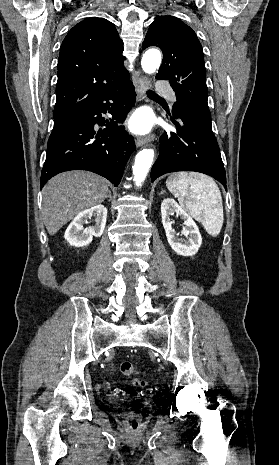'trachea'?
<instances>
[{"label": "trachea", "mask_w": 279, "mask_h": 465, "mask_svg": "<svg viewBox=\"0 0 279 465\" xmlns=\"http://www.w3.org/2000/svg\"><path fill=\"white\" fill-rule=\"evenodd\" d=\"M147 94H148L149 97L160 98V97H159L155 92H153V91H148Z\"/></svg>", "instance_id": "obj_1"}]
</instances>
